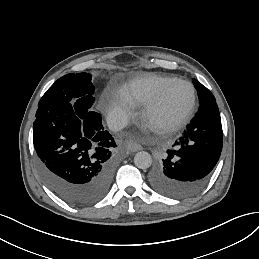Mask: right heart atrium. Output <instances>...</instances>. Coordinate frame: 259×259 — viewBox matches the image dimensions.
I'll use <instances>...</instances> for the list:
<instances>
[{
	"instance_id": "d8ad5b80",
	"label": "right heart atrium",
	"mask_w": 259,
	"mask_h": 259,
	"mask_svg": "<svg viewBox=\"0 0 259 259\" xmlns=\"http://www.w3.org/2000/svg\"><path fill=\"white\" fill-rule=\"evenodd\" d=\"M139 106L124 91L106 89L102 94L101 112L115 126H124L138 114Z\"/></svg>"
}]
</instances>
